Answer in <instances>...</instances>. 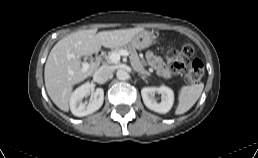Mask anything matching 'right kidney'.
Instances as JSON below:
<instances>
[{
	"label": "right kidney",
	"instance_id": "ca27d5eb",
	"mask_svg": "<svg viewBox=\"0 0 258 158\" xmlns=\"http://www.w3.org/2000/svg\"><path fill=\"white\" fill-rule=\"evenodd\" d=\"M92 92L93 100L88 104L82 100ZM104 101V90L97 88L95 91L90 83H85L78 87L70 96L69 105L73 115L77 117L87 116L101 108Z\"/></svg>",
	"mask_w": 258,
	"mask_h": 158
}]
</instances>
